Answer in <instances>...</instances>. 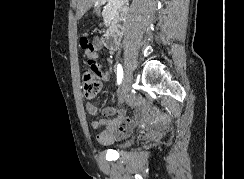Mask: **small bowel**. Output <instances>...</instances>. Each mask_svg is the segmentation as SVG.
I'll return each instance as SVG.
<instances>
[{
    "mask_svg": "<svg viewBox=\"0 0 244 179\" xmlns=\"http://www.w3.org/2000/svg\"><path fill=\"white\" fill-rule=\"evenodd\" d=\"M80 45L88 58V64L90 66H97L99 64L100 54L112 50L104 44L102 38L98 35L93 36L91 39H88L86 36L82 37ZM110 77L111 74L107 68L101 71V79L103 81H108ZM86 111L91 115L98 113L97 107L91 103L86 104ZM104 113L115 116V118H103L98 122H94L93 125L94 127L103 126L106 128L105 131L99 134L98 140L103 144H110L124 137L139 122L141 111L140 109L136 110L135 115L130 117L123 110L110 107L105 109Z\"/></svg>",
    "mask_w": 244,
    "mask_h": 179,
    "instance_id": "obj_1",
    "label": "small bowel"
}]
</instances>
